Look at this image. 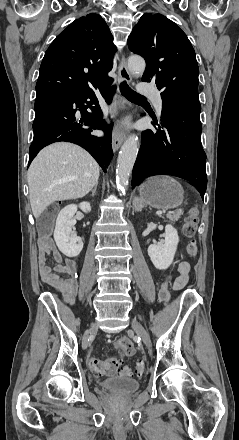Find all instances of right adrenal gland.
<instances>
[{"label":"right adrenal gland","instance_id":"right-adrenal-gland-1","mask_svg":"<svg viewBox=\"0 0 239 440\" xmlns=\"http://www.w3.org/2000/svg\"><path fill=\"white\" fill-rule=\"evenodd\" d=\"M97 186H98V184H97ZM97 186H94V190H92V192H91L92 196H95V192L97 190Z\"/></svg>","mask_w":239,"mask_h":440}]
</instances>
